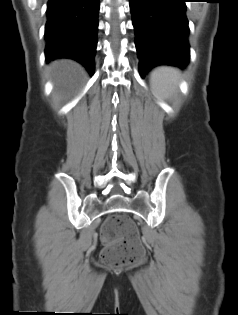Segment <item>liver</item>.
I'll list each match as a JSON object with an SVG mask.
<instances>
[{
    "mask_svg": "<svg viewBox=\"0 0 238 315\" xmlns=\"http://www.w3.org/2000/svg\"><path fill=\"white\" fill-rule=\"evenodd\" d=\"M55 90L65 94L77 88L85 77V71L78 63L69 59L55 60L50 64Z\"/></svg>",
    "mask_w": 238,
    "mask_h": 315,
    "instance_id": "liver-1",
    "label": "liver"
}]
</instances>
